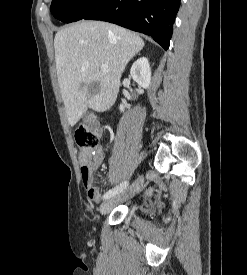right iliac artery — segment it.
<instances>
[{"mask_svg":"<svg viewBox=\"0 0 247 275\" xmlns=\"http://www.w3.org/2000/svg\"><path fill=\"white\" fill-rule=\"evenodd\" d=\"M127 186H128V182L124 181V182L120 183L119 185H117L116 187H114L113 189L107 191L104 194L103 198L109 199V198L117 195L118 193L122 192Z\"/></svg>","mask_w":247,"mask_h":275,"instance_id":"82829eb1","label":"right iliac artery"}]
</instances>
